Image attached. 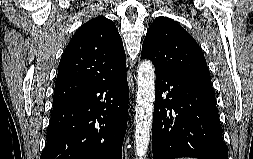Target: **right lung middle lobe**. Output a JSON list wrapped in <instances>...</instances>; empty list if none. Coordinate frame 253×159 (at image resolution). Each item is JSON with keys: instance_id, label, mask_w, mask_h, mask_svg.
Masks as SVG:
<instances>
[{"instance_id": "1", "label": "right lung middle lobe", "mask_w": 253, "mask_h": 159, "mask_svg": "<svg viewBox=\"0 0 253 159\" xmlns=\"http://www.w3.org/2000/svg\"><path fill=\"white\" fill-rule=\"evenodd\" d=\"M61 105H53V109L59 108Z\"/></svg>"}]
</instances>
